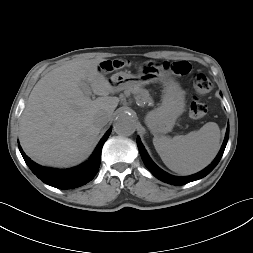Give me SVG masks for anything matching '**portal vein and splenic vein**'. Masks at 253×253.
<instances>
[{
  "label": "portal vein and splenic vein",
  "instance_id": "18ae733b",
  "mask_svg": "<svg viewBox=\"0 0 253 253\" xmlns=\"http://www.w3.org/2000/svg\"><path fill=\"white\" fill-rule=\"evenodd\" d=\"M81 87L86 96H90L92 94L90 87L86 83H82Z\"/></svg>",
  "mask_w": 253,
  "mask_h": 253
}]
</instances>
